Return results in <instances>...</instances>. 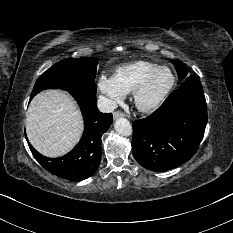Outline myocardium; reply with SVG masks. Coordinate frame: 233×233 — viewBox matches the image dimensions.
<instances>
[{"label":"myocardium","mask_w":233,"mask_h":233,"mask_svg":"<svg viewBox=\"0 0 233 233\" xmlns=\"http://www.w3.org/2000/svg\"><path fill=\"white\" fill-rule=\"evenodd\" d=\"M168 71L170 74V81L167 84V86L164 88V90L153 100L150 102H145L143 100L144 94L147 91L149 85L151 84L152 80L155 78V76L161 72V71ZM175 85V75L173 71L166 67V66H159L155 70H153L151 73H149L144 80L139 84V86L134 90L133 92V101L136 106V108L141 112H153L157 110L163 102L166 100L168 95L170 94L171 90L173 89Z\"/></svg>","instance_id":"obj_1"}]
</instances>
